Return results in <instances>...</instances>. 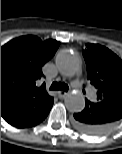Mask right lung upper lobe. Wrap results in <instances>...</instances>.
Here are the masks:
<instances>
[{"label": "right lung upper lobe", "instance_id": "right-lung-upper-lobe-1", "mask_svg": "<svg viewBox=\"0 0 122 154\" xmlns=\"http://www.w3.org/2000/svg\"><path fill=\"white\" fill-rule=\"evenodd\" d=\"M53 39L27 35L1 47V116L12 126L45 112L53 98L36 83L59 47Z\"/></svg>", "mask_w": 122, "mask_h": 154}]
</instances>
